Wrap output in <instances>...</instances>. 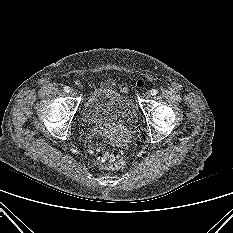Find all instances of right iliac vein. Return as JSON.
Wrapping results in <instances>:
<instances>
[{
    "instance_id": "1",
    "label": "right iliac vein",
    "mask_w": 233,
    "mask_h": 233,
    "mask_svg": "<svg viewBox=\"0 0 233 233\" xmlns=\"http://www.w3.org/2000/svg\"><path fill=\"white\" fill-rule=\"evenodd\" d=\"M69 92H70V95H71V96H75V95H76V92H75V90H74V89H70V91H69Z\"/></svg>"
}]
</instances>
